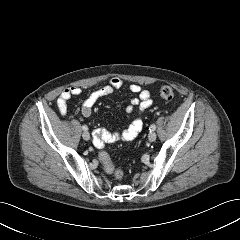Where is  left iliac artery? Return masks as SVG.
I'll return each instance as SVG.
<instances>
[{
  "label": "left iliac artery",
  "instance_id": "left-iliac-artery-1",
  "mask_svg": "<svg viewBox=\"0 0 240 240\" xmlns=\"http://www.w3.org/2000/svg\"><path fill=\"white\" fill-rule=\"evenodd\" d=\"M155 129H156V126H155L154 124H152V125L150 126V128H149L150 132H151V131H154Z\"/></svg>",
  "mask_w": 240,
  "mask_h": 240
}]
</instances>
